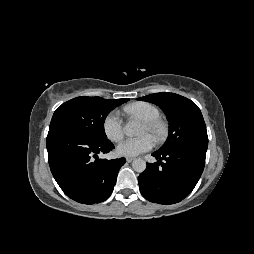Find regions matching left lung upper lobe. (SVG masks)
I'll list each match as a JSON object with an SVG mask.
<instances>
[{"label": "left lung upper lobe", "instance_id": "obj_1", "mask_svg": "<svg viewBox=\"0 0 254 254\" xmlns=\"http://www.w3.org/2000/svg\"><path fill=\"white\" fill-rule=\"evenodd\" d=\"M138 100L158 105L169 121L168 138L158 151L167 152L189 145L208 147L206 125L194 102L169 92L151 94Z\"/></svg>", "mask_w": 254, "mask_h": 254}]
</instances>
